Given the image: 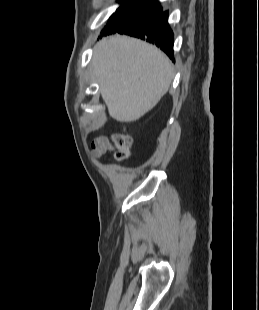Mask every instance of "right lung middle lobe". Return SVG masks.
<instances>
[{"mask_svg":"<svg viewBox=\"0 0 259 310\" xmlns=\"http://www.w3.org/2000/svg\"><path fill=\"white\" fill-rule=\"evenodd\" d=\"M118 2L120 7L102 30V36L125 27L158 4L156 0H118Z\"/></svg>","mask_w":259,"mask_h":310,"instance_id":"dd1d6c3e","label":"right lung middle lobe"}]
</instances>
